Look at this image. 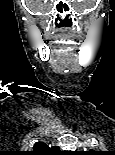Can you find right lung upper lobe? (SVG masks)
Instances as JSON below:
<instances>
[{"mask_svg": "<svg viewBox=\"0 0 115 155\" xmlns=\"http://www.w3.org/2000/svg\"><path fill=\"white\" fill-rule=\"evenodd\" d=\"M59 148L52 146L51 148L44 142H37L34 144L33 151L29 155H58Z\"/></svg>", "mask_w": 115, "mask_h": 155, "instance_id": "right-lung-upper-lobe-1", "label": "right lung upper lobe"}]
</instances>
